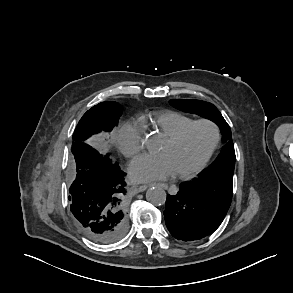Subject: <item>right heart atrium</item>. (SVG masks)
Listing matches in <instances>:
<instances>
[{
  "instance_id": "d8ad5b80",
  "label": "right heart atrium",
  "mask_w": 293,
  "mask_h": 293,
  "mask_svg": "<svg viewBox=\"0 0 293 293\" xmlns=\"http://www.w3.org/2000/svg\"><path fill=\"white\" fill-rule=\"evenodd\" d=\"M115 144L127 158L138 155L143 149L142 127L136 122L124 123L116 132Z\"/></svg>"
}]
</instances>
